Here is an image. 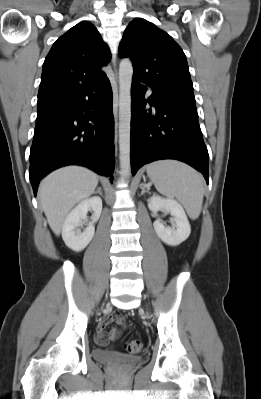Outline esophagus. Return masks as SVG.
Here are the masks:
<instances>
[{
  "instance_id": "esophagus-1",
  "label": "esophagus",
  "mask_w": 261,
  "mask_h": 399,
  "mask_svg": "<svg viewBox=\"0 0 261 399\" xmlns=\"http://www.w3.org/2000/svg\"><path fill=\"white\" fill-rule=\"evenodd\" d=\"M113 64H114L115 77H116V62H115V58L113 59Z\"/></svg>"
}]
</instances>
